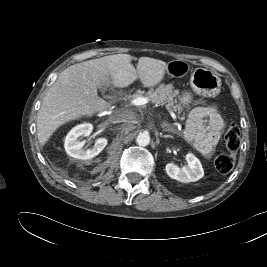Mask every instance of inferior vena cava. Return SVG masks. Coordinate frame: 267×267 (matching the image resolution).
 Instances as JSON below:
<instances>
[{"instance_id": "602c4592", "label": "inferior vena cava", "mask_w": 267, "mask_h": 267, "mask_svg": "<svg viewBox=\"0 0 267 267\" xmlns=\"http://www.w3.org/2000/svg\"><path fill=\"white\" fill-rule=\"evenodd\" d=\"M114 122H124L129 128H133V125L138 122L136 114L132 111H122L118 112L113 117Z\"/></svg>"}]
</instances>
